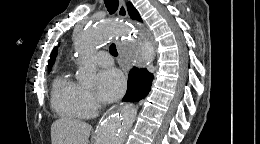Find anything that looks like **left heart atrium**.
Here are the masks:
<instances>
[{
  "mask_svg": "<svg viewBox=\"0 0 260 144\" xmlns=\"http://www.w3.org/2000/svg\"><path fill=\"white\" fill-rule=\"evenodd\" d=\"M126 81L117 69H108L98 75V96L103 102H113L125 91Z\"/></svg>",
  "mask_w": 260,
  "mask_h": 144,
  "instance_id": "39dd6f15",
  "label": "left heart atrium"
}]
</instances>
